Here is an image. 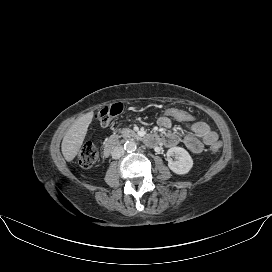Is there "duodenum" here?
<instances>
[{"label": "duodenum", "mask_w": 272, "mask_h": 272, "mask_svg": "<svg viewBox=\"0 0 272 272\" xmlns=\"http://www.w3.org/2000/svg\"><path fill=\"white\" fill-rule=\"evenodd\" d=\"M131 137L135 138V139H142L144 142H146L150 146H157L160 141L159 137L156 134H146V135H142V136L137 135V134H133V135H131ZM118 143H119V138L117 136L109 138L105 142V145L103 147V155L105 157L110 156V154L116 148Z\"/></svg>", "instance_id": "410a0bca"}]
</instances>
